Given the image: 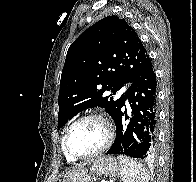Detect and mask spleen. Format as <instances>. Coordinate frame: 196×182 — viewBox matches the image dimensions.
Wrapping results in <instances>:
<instances>
[{
    "instance_id": "obj_1",
    "label": "spleen",
    "mask_w": 196,
    "mask_h": 182,
    "mask_svg": "<svg viewBox=\"0 0 196 182\" xmlns=\"http://www.w3.org/2000/svg\"><path fill=\"white\" fill-rule=\"evenodd\" d=\"M119 173L123 182H148L149 176L145 169L130 157L120 155Z\"/></svg>"
}]
</instances>
